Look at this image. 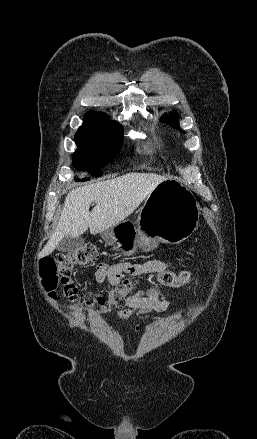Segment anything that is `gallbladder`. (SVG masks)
<instances>
[{"mask_svg":"<svg viewBox=\"0 0 257 439\" xmlns=\"http://www.w3.org/2000/svg\"><path fill=\"white\" fill-rule=\"evenodd\" d=\"M83 244L84 239L80 236H65L58 243L57 249L61 252H75L78 251L83 246Z\"/></svg>","mask_w":257,"mask_h":439,"instance_id":"obj_1","label":"gallbladder"}]
</instances>
